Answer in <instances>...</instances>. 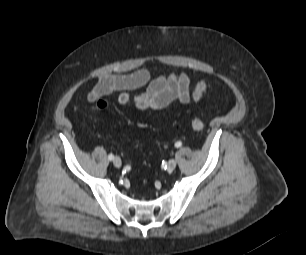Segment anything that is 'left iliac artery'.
Segmentation results:
<instances>
[{
  "instance_id": "1",
  "label": "left iliac artery",
  "mask_w": 306,
  "mask_h": 255,
  "mask_svg": "<svg viewBox=\"0 0 306 255\" xmlns=\"http://www.w3.org/2000/svg\"><path fill=\"white\" fill-rule=\"evenodd\" d=\"M182 146V142L181 141H177L176 143H175V147L176 148H179V147H181Z\"/></svg>"
}]
</instances>
